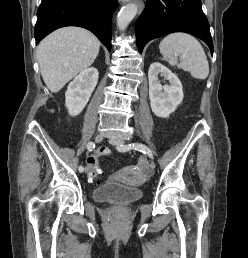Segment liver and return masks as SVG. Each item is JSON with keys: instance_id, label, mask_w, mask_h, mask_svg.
Here are the masks:
<instances>
[{"instance_id": "liver-1", "label": "liver", "mask_w": 248, "mask_h": 258, "mask_svg": "<svg viewBox=\"0 0 248 258\" xmlns=\"http://www.w3.org/2000/svg\"><path fill=\"white\" fill-rule=\"evenodd\" d=\"M100 41L90 31L79 27L58 29L37 47V59L47 88L56 93L78 73L91 66Z\"/></svg>"}]
</instances>
